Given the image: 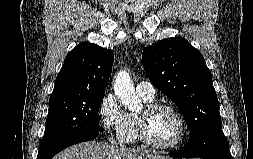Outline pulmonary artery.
Listing matches in <instances>:
<instances>
[{"mask_svg":"<svg viewBox=\"0 0 253 159\" xmlns=\"http://www.w3.org/2000/svg\"><path fill=\"white\" fill-rule=\"evenodd\" d=\"M136 92L138 95L147 99H153L156 91L152 83L148 81H141L136 85Z\"/></svg>","mask_w":253,"mask_h":159,"instance_id":"pulmonary-artery-1","label":"pulmonary artery"}]
</instances>
